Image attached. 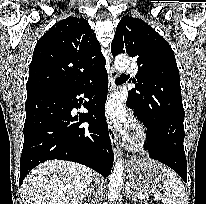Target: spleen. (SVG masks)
Wrapping results in <instances>:
<instances>
[{
	"instance_id": "obj_1",
	"label": "spleen",
	"mask_w": 206,
	"mask_h": 204,
	"mask_svg": "<svg viewBox=\"0 0 206 204\" xmlns=\"http://www.w3.org/2000/svg\"><path fill=\"white\" fill-rule=\"evenodd\" d=\"M166 180L164 182L163 204H182L184 199L185 187L173 171L165 170Z\"/></svg>"
}]
</instances>
